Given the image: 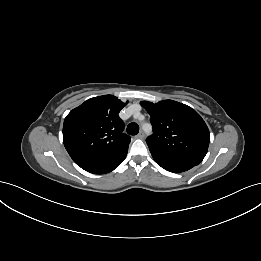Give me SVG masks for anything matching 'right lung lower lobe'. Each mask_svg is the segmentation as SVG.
I'll return each instance as SVG.
<instances>
[{
  "label": "right lung lower lobe",
  "instance_id": "obj_1",
  "mask_svg": "<svg viewBox=\"0 0 261 261\" xmlns=\"http://www.w3.org/2000/svg\"><path fill=\"white\" fill-rule=\"evenodd\" d=\"M126 154L127 152L115 158L85 159V160L78 161L76 163L78 164V166H80L82 169H84L87 172L93 174H105L113 171L118 165H120L124 161Z\"/></svg>",
  "mask_w": 261,
  "mask_h": 261
}]
</instances>
